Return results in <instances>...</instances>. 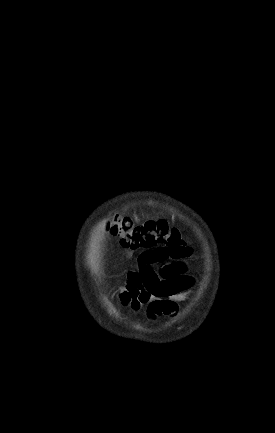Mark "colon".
<instances>
[{"mask_svg": "<svg viewBox=\"0 0 275 433\" xmlns=\"http://www.w3.org/2000/svg\"><path fill=\"white\" fill-rule=\"evenodd\" d=\"M108 228L113 235L120 238L122 247L127 249L163 245L167 258H182L189 252L182 234L162 220L136 224L128 217L113 215Z\"/></svg>", "mask_w": 275, "mask_h": 433, "instance_id": "1", "label": "colon"}]
</instances>
